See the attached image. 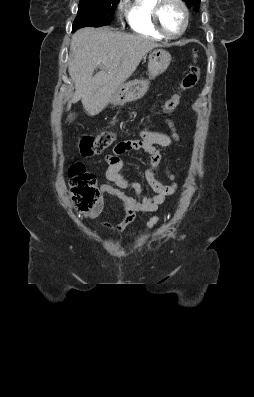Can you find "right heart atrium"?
I'll return each mask as SVG.
<instances>
[{"mask_svg":"<svg viewBox=\"0 0 254 397\" xmlns=\"http://www.w3.org/2000/svg\"><path fill=\"white\" fill-rule=\"evenodd\" d=\"M119 7L120 9H123V2L120 3Z\"/></svg>","mask_w":254,"mask_h":397,"instance_id":"1","label":"right heart atrium"}]
</instances>
